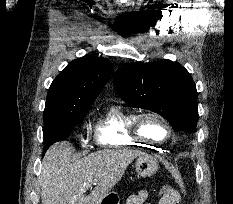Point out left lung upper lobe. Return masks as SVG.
Instances as JSON below:
<instances>
[{"instance_id": "1", "label": "left lung upper lobe", "mask_w": 233, "mask_h": 204, "mask_svg": "<svg viewBox=\"0 0 233 204\" xmlns=\"http://www.w3.org/2000/svg\"><path fill=\"white\" fill-rule=\"evenodd\" d=\"M113 83L128 106L158 113L175 131H197L196 85L179 63L170 60L133 62L116 71Z\"/></svg>"}]
</instances>
